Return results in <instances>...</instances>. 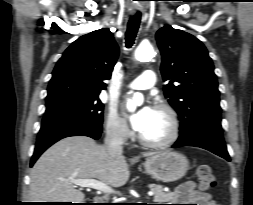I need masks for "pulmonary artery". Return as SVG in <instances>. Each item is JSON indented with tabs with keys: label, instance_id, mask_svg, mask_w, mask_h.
Masks as SVG:
<instances>
[{
	"label": "pulmonary artery",
	"instance_id": "pulmonary-artery-1",
	"mask_svg": "<svg viewBox=\"0 0 253 205\" xmlns=\"http://www.w3.org/2000/svg\"><path fill=\"white\" fill-rule=\"evenodd\" d=\"M155 82V73L152 70H145L139 77L128 85V88L133 90H145L154 86Z\"/></svg>",
	"mask_w": 253,
	"mask_h": 205
}]
</instances>
